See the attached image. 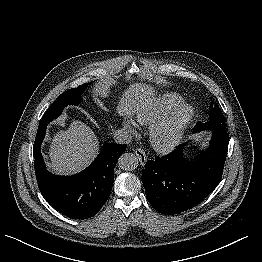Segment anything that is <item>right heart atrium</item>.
Here are the masks:
<instances>
[{"label":"right heart atrium","mask_w":262,"mask_h":262,"mask_svg":"<svg viewBox=\"0 0 262 262\" xmlns=\"http://www.w3.org/2000/svg\"><path fill=\"white\" fill-rule=\"evenodd\" d=\"M123 126H124L125 130H127L128 132L136 133V127H135V124L132 121L125 120L123 122Z\"/></svg>","instance_id":"d8ad5b80"}]
</instances>
